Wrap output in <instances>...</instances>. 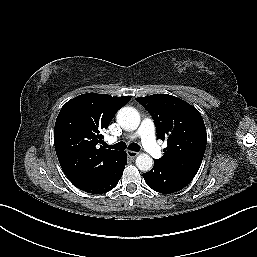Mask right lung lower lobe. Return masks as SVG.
I'll return each mask as SVG.
<instances>
[{"mask_svg": "<svg viewBox=\"0 0 257 257\" xmlns=\"http://www.w3.org/2000/svg\"><path fill=\"white\" fill-rule=\"evenodd\" d=\"M126 162V154L120 151L114 164L94 179L73 183L77 188L92 194H101L113 189L122 176Z\"/></svg>", "mask_w": 257, "mask_h": 257, "instance_id": "right-lung-lower-lobe-1", "label": "right lung lower lobe"}]
</instances>
